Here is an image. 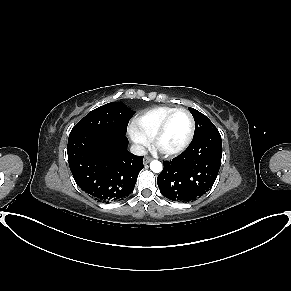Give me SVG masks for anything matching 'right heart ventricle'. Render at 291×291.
I'll return each instance as SVG.
<instances>
[{
	"mask_svg": "<svg viewBox=\"0 0 291 291\" xmlns=\"http://www.w3.org/2000/svg\"><path fill=\"white\" fill-rule=\"evenodd\" d=\"M175 109L170 106H159L147 110L135 118V126L151 140L165 117Z\"/></svg>",
	"mask_w": 291,
	"mask_h": 291,
	"instance_id": "obj_1",
	"label": "right heart ventricle"
}]
</instances>
